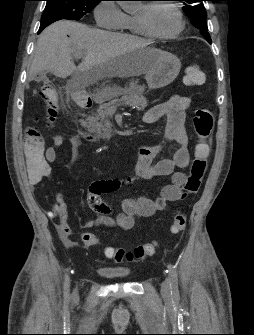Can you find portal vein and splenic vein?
<instances>
[{"instance_id": "portal-vein-and-splenic-vein-1", "label": "portal vein and splenic vein", "mask_w": 254, "mask_h": 335, "mask_svg": "<svg viewBox=\"0 0 254 335\" xmlns=\"http://www.w3.org/2000/svg\"><path fill=\"white\" fill-rule=\"evenodd\" d=\"M76 59H80L81 57H83V54L82 53H77L75 54L74 56Z\"/></svg>"}]
</instances>
